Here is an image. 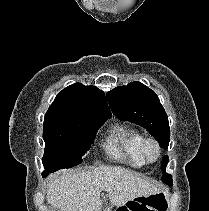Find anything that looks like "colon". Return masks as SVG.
Returning a JSON list of instances; mask_svg holds the SVG:
<instances>
[{
    "label": "colon",
    "mask_w": 209,
    "mask_h": 211,
    "mask_svg": "<svg viewBox=\"0 0 209 211\" xmlns=\"http://www.w3.org/2000/svg\"><path fill=\"white\" fill-rule=\"evenodd\" d=\"M165 208V197L159 193L133 198L117 211H165Z\"/></svg>",
    "instance_id": "obj_1"
}]
</instances>
